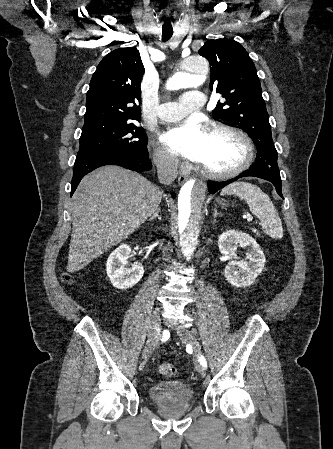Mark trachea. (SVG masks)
<instances>
[{
	"instance_id": "obj_1",
	"label": "trachea",
	"mask_w": 333,
	"mask_h": 449,
	"mask_svg": "<svg viewBox=\"0 0 333 449\" xmlns=\"http://www.w3.org/2000/svg\"><path fill=\"white\" fill-rule=\"evenodd\" d=\"M173 35V28L170 27H162V39L164 42L168 41Z\"/></svg>"
}]
</instances>
